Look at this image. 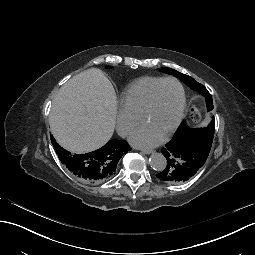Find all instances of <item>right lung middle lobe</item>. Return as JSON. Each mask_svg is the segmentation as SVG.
Wrapping results in <instances>:
<instances>
[{
  "label": "right lung middle lobe",
  "mask_w": 255,
  "mask_h": 255,
  "mask_svg": "<svg viewBox=\"0 0 255 255\" xmlns=\"http://www.w3.org/2000/svg\"><path fill=\"white\" fill-rule=\"evenodd\" d=\"M107 68H111V66H107Z\"/></svg>",
  "instance_id": "right-lung-middle-lobe-1"
}]
</instances>
